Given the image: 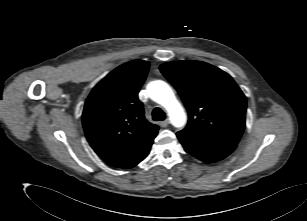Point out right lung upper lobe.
<instances>
[{"instance_id":"cb5924a9","label":"right lung upper lobe","mask_w":307,"mask_h":221,"mask_svg":"<svg viewBox=\"0 0 307 221\" xmlns=\"http://www.w3.org/2000/svg\"><path fill=\"white\" fill-rule=\"evenodd\" d=\"M149 62H127L103 78L88 96L82 114L85 135L99 157L122 168L149 148L159 127L144 118L138 92Z\"/></svg>"}]
</instances>
